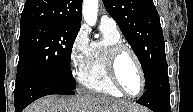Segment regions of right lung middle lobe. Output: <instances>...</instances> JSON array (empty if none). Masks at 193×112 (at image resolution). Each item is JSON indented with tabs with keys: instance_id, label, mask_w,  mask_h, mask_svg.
I'll list each match as a JSON object with an SVG mask.
<instances>
[{
	"instance_id": "dd1d6c3e",
	"label": "right lung middle lobe",
	"mask_w": 193,
	"mask_h": 112,
	"mask_svg": "<svg viewBox=\"0 0 193 112\" xmlns=\"http://www.w3.org/2000/svg\"><path fill=\"white\" fill-rule=\"evenodd\" d=\"M80 27L37 25L21 30L16 85L46 79L75 90L70 58Z\"/></svg>"
}]
</instances>
